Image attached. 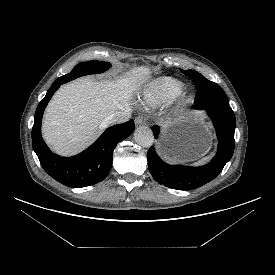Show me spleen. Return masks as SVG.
I'll list each match as a JSON object with an SVG mask.
<instances>
[{
  "label": "spleen",
  "instance_id": "3e777b00",
  "mask_svg": "<svg viewBox=\"0 0 275 275\" xmlns=\"http://www.w3.org/2000/svg\"><path fill=\"white\" fill-rule=\"evenodd\" d=\"M209 159H210V156L203 157L202 159H200V160H198L197 162H195V165L204 164V163H206Z\"/></svg>",
  "mask_w": 275,
  "mask_h": 275
}]
</instances>
